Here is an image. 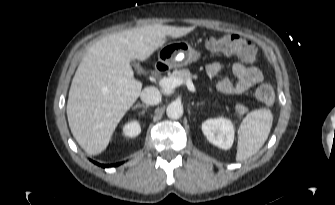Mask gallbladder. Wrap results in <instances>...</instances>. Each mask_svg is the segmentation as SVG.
<instances>
[{"mask_svg": "<svg viewBox=\"0 0 335 205\" xmlns=\"http://www.w3.org/2000/svg\"><path fill=\"white\" fill-rule=\"evenodd\" d=\"M132 64L135 68V70L138 72V73H141L142 72V67L140 66L139 62L137 60H133L132 61Z\"/></svg>", "mask_w": 335, "mask_h": 205, "instance_id": "1", "label": "gallbladder"}]
</instances>
